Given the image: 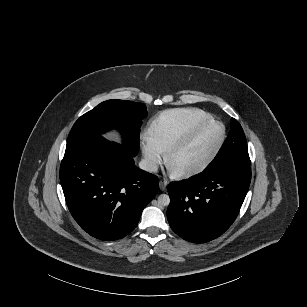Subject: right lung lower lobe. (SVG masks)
Masks as SVG:
<instances>
[{"mask_svg": "<svg viewBox=\"0 0 307 307\" xmlns=\"http://www.w3.org/2000/svg\"><path fill=\"white\" fill-rule=\"evenodd\" d=\"M123 145L91 135L67 146L60 182L67 206L83 230L112 241L138 224L158 191V177L135 166Z\"/></svg>", "mask_w": 307, "mask_h": 307, "instance_id": "1", "label": "right lung lower lobe"}]
</instances>
